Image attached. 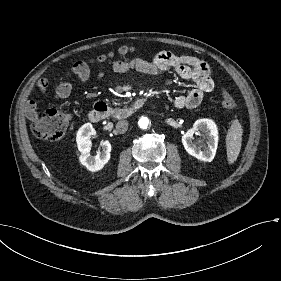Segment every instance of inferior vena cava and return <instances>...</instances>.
<instances>
[{
	"label": "inferior vena cava",
	"mask_w": 281,
	"mask_h": 281,
	"mask_svg": "<svg viewBox=\"0 0 281 281\" xmlns=\"http://www.w3.org/2000/svg\"><path fill=\"white\" fill-rule=\"evenodd\" d=\"M128 125H129V123L127 120H120L116 123V130L120 134H124L128 129Z\"/></svg>",
	"instance_id": "602c4592"
}]
</instances>
